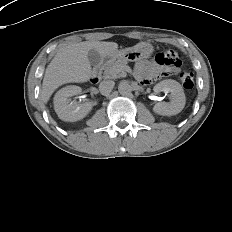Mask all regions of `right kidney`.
<instances>
[{
  "mask_svg": "<svg viewBox=\"0 0 232 232\" xmlns=\"http://www.w3.org/2000/svg\"><path fill=\"white\" fill-rule=\"evenodd\" d=\"M79 86L70 85L60 89L54 96V109L58 117L67 122H75L83 119L91 110L90 102L79 104L73 102L69 97L81 94Z\"/></svg>",
  "mask_w": 232,
  "mask_h": 232,
  "instance_id": "right-kidney-1",
  "label": "right kidney"
}]
</instances>
